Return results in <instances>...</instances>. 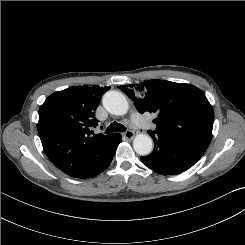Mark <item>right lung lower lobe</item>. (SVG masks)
Listing matches in <instances>:
<instances>
[{
	"mask_svg": "<svg viewBox=\"0 0 245 245\" xmlns=\"http://www.w3.org/2000/svg\"><path fill=\"white\" fill-rule=\"evenodd\" d=\"M121 141H122V136L117 133L116 136L114 137L111 150L108 153L105 161L103 162V164L101 165V167L96 171V173L93 176H91V177H94V176L98 175L99 173H101L102 171H104L110 165V163H111V161L113 159V156H114V154L116 152L117 146H118V144Z\"/></svg>",
	"mask_w": 245,
	"mask_h": 245,
	"instance_id": "obj_1",
	"label": "right lung lower lobe"
}]
</instances>
